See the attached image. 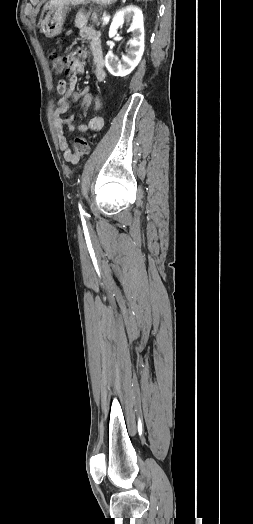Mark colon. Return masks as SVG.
Returning a JSON list of instances; mask_svg holds the SVG:
<instances>
[{
    "label": "colon",
    "instance_id": "1",
    "mask_svg": "<svg viewBox=\"0 0 253 524\" xmlns=\"http://www.w3.org/2000/svg\"><path fill=\"white\" fill-rule=\"evenodd\" d=\"M66 56L60 51L52 50L49 53V60L53 71L60 74L64 71L67 65ZM89 152V143L84 137H76L73 140L72 148L70 149L67 159L71 162H78Z\"/></svg>",
    "mask_w": 253,
    "mask_h": 524
}]
</instances>
